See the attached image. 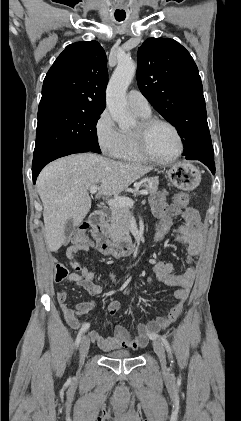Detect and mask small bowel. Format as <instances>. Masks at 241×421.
I'll return each mask as SVG.
<instances>
[{
	"label": "small bowel",
	"instance_id": "small-bowel-1",
	"mask_svg": "<svg viewBox=\"0 0 241 421\" xmlns=\"http://www.w3.org/2000/svg\"><path fill=\"white\" fill-rule=\"evenodd\" d=\"M167 197L168 194L165 191L155 193L150 200L151 210L160 219L167 216L172 219L177 216L181 217L182 223L174 228L172 235L175 242L186 249L187 261L192 264L199 255L204 241V231L199 213L192 207L183 208L174 204H168ZM89 249L90 244H85L79 246L73 245L66 250V256L69 259L70 266L79 271V273L70 274L68 279L81 285L92 296H97L102 292V287L94 282L95 274L93 269L72 260L78 251H88ZM152 263L157 278L166 285L177 288L174 294L176 303L164 316L158 317L147 324L140 323L137 327L136 335H133L122 325H116L113 335L109 337H103L95 330L91 331L89 336L100 349L111 351L119 348H143L147 345L150 337H154L159 330L168 327L180 316L193 286L196 275L195 268L191 266L182 273H175L174 265L170 262L153 260ZM111 280L116 284V279L113 275H111ZM116 292L117 290L115 289L114 293ZM57 300L67 323L73 329L82 327L83 325L81 326L79 322V316L90 313L96 306V302L92 300L82 302L76 305L75 308L70 307L66 302L67 291L63 288L58 292ZM119 309L120 303L117 300L111 301L107 306V310L111 316L116 315Z\"/></svg>",
	"mask_w": 241,
	"mask_h": 421
}]
</instances>
